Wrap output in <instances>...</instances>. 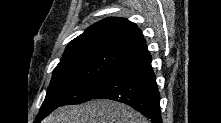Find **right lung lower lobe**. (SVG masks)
I'll use <instances>...</instances> for the list:
<instances>
[{
	"label": "right lung lower lobe",
	"mask_w": 221,
	"mask_h": 123,
	"mask_svg": "<svg viewBox=\"0 0 221 123\" xmlns=\"http://www.w3.org/2000/svg\"><path fill=\"white\" fill-rule=\"evenodd\" d=\"M151 61L148 51L130 57L95 86L89 100L103 98L122 102L151 121L161 123L160 94Z\"/></svg>",
	"instance_id": "98d812e1"
}]
</instances>
